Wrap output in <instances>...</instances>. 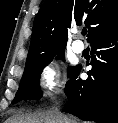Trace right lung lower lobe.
<instances>
[{
    "instance_id": "98d812e1",
    "label": "right lung lower lobe",
    "mask_w": 118,
    "mask_h": 123,
    "mask_svg": "<svg viewBox=\"0 0 118 123\" xmlns=\"http://www.w3.org/2000/svg\"><path fill=\"white\" fill-rule=\"evenodd\" d=\"M86 80L74 68L65 86L71 114L85 121L118 123V31L91 44Z\"/></svg>"
}]
</instances>
